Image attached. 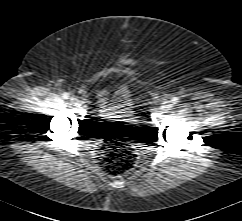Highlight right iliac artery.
<instances>
[{
  "instance_id": "right-iliac-artery-1",
  "label": "right iliac artery",
  "mask_w": 242,
  "mask_h": 221,
  "mask_svg": "<svg viewBox=\"0 0 242 221\" xmlns=\"http://www.w3.org/2000/svg\"><path fill=\"white\" fill-rule=\"evenodd\" d=\"M62 97L64 99H69L70 95H69V93L65 92V93L62 94Z\"/></svg>"
}]
</instances>
